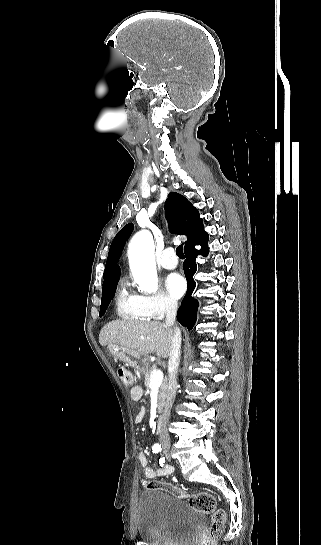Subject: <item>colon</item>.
Returning a JSON list of instances; mask_svg holds the SVG:
<instances>
[{"mask_svg": "<svg viewBox=\"0 0 321 545\" xmlns=\"http://www.w3.org/2000/svg\"><path fill=\"white\" fill-rule=\"evenodd\" d=\"M118 375L125 386H131L133 378L131 372L125 366L118 368ZM149 489H163L170 494L182 497L184 492L177 486L158 481L146 482ZM190 505L205 513L211 515V525L208 529L206 538L202 541V545H214L215 541L222 535L225 527L226 514L223 509L217 508L214 496L207 492H199L190 497Z\"/></svg>", "mask_w": 321, "mask_h": 545, "instance_id": "1", "label": "colon"}]
</instances>
